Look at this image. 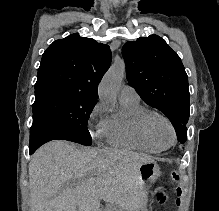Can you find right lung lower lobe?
I'll use <instances>...</instances> for the list:
<instances>
[{"mask_svg":"<svg viewBox=\"0 0 219 211\" xmlns=\"http://www.w3.org/2000/svg\"><path fill=\"white\" fill-rule=\"evenodd\" d=\"M56 139L68 140L82 144L81 136L74 132L54 127L39 126L30 130L29 153L33 154L44 143Z\"/></svg>","mask_w":219,"mask_h":211,"instance_id":"obj_1","label":"right lung lower lobe"}]
</instances>
